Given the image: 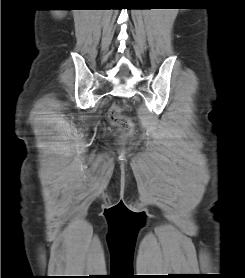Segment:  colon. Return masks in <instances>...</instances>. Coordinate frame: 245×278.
<instances>
[{
  "label": "colon",
  "instance_id": "colon-1",
  "mask_svg": "<svg viewBox=\"0 0 245 278\" xmlns=\"http://www.w3.org/2000/svg\"><path fill=\"white\" fill-rule=\"evenodd\" d=\"M124 105L116 104L109 111V118L111 122L119 128L130 131L132 128V122L128 116L124 113Z\"/></svg>",
  "mask_w": 245,
  "mask_h": 278
}]
</instances>
